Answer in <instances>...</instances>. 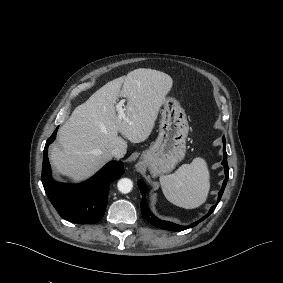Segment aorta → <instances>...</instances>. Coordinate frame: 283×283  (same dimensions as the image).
<instances>
[{"label":"aorta","instance_id":"obj_1","mask_svg":"<svg viewBox=\"0 0 283 283\" xmlns=\"http://www.w3.org/2000/svg\"><path fill=\"white\" fill-rule=\"evenodd\" d=\"M118 190L123 193H129L132 190L133 182L128 178H122L117 183Z\"/></svg>","mask_w":283,"mask_h":283}]
</instances>
